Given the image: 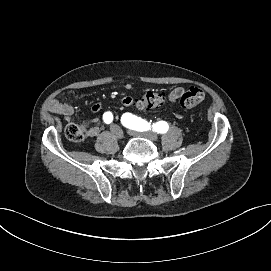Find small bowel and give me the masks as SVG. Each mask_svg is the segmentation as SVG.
I'll use <instances>...</instances> for the list:
<instances>
[{"mask_svg":"<svg viewBox=\"0 0 271 271\" xmlns=\"http://www.w3.org/2000/svg\"><path fill=\"white\" fill-rule=\"evenodd\" d=\"M133 85L131 83H127L124 85V89L126 91H132ZM186 91L184 87L174 88L168 95V98L171 102H176L183 93ZM119 104L122 106H133L135 104V100L130 96H125L119 100ZM105 105L103 103H95L91 107V111L93 113H98L103 110ZM49 110L52 113L61 115L65 121L70 122L72 120V116L74 114V109L70 104L61 102L59 100H53L49 104ZM85 137H95L100 132V121L98 119H93L90 121L88 125L84 126Z\"/></svg>","mask_w":271,"mask_h":271,"instance_id":"small-bowel-1","label":"small bowel"}]
</instances>
